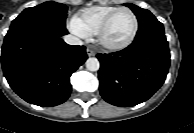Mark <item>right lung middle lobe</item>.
Returning <instances> with one entry per match:
<instances>
[{
    "instance_id": "1",
    "label": "right lung middle lobe",
    "mask_w": 194,
    "mask_h": 133,
    "mask_svg": "<svg viewBox=\"0 0 194 133\" xmlns=\"http://www.w3.org/2000/svg\"><path fill=\"white\" fill-rule=\"evenodd\" d=\"M67 6L56 2H45L38 6L25 9L12 21L13 28L19 24L30 22H55L65 25Z\"/></svg>"
}]
</instances>
